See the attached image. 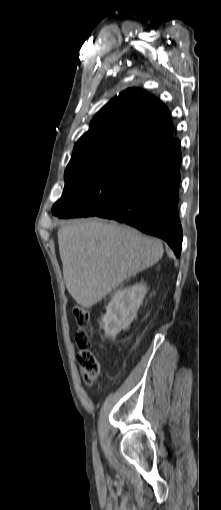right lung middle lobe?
<instances>
[{"mask_svg":"<svg viewBox=\"0 0 221 510\" xmlns=\"http://www.w3.org/2000/svg\"><path fill=\"white\" fill-rule=\"evenodd\" d=\"M150 153L124 147L70 160L64 191L52 214L67 216L79 206L88 211L110 206L124 194Z\"/></svg>","mask_w":221,"mask_h":510,"instance_id":"1","label":"right lung middle lobe"}]
</instances>
